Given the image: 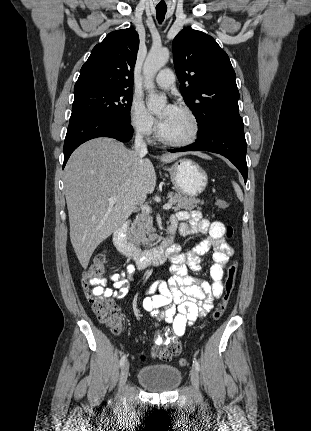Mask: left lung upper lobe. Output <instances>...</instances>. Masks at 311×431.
Instances as JSON below:
<instances>
[{
  "mask_svg": "<svg viewBox=\"0 0 311 431\" xmlns=\"http://www.w3.org/2000/svg\"><path fill=\"white\" fill-rule=\"evenodd\" d=\"M172 47L180 92L198 122V135L223 118L239 116L235 71L214 38L185 28Z\"/></svg>",
  "mask_w": 311,
  "mask_h": 431,
  "instance_id": "5c2ea615",
  "label": "left lung upper lobe"
}]
</instances>
